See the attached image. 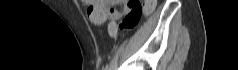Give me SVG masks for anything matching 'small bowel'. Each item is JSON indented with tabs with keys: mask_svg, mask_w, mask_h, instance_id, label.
<instances>
[{
	"mask_svg": "<svg viewBox=\"0 0 238 70\" xmlns=\"http://www.w3.org/2000/svg\"><path fill=\"white\" fill-rule=\"evenodd\" d=\"M84 3L88 6V19L95 25H101L106 20H109L110 23V19H117L118 21L129 11L126 0H85ZM114 5L123 6V10L114 9Z\"/></svg>",
	"mask_w": 238,
	"mask_h": 70,
	"instance_id": "c3829d8e",
	"label": "small bowel"
}]
</instances>
